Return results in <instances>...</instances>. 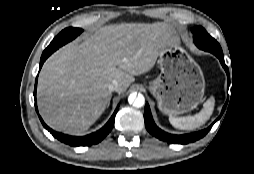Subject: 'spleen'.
Wrapping results in <instances>:
<instances>
[{
	"label": "spleen",
	"mask_w": 254,
	"mask_h": 174,
	"mask_svg": "<svg viewBox=\"0 0 254 174\" xmlns=\"http://www.w3.org/2000/svg\"><path fill=\"white\" fill-rule=\"evenodd\" d=\"M215 105L214 97H210L204 104L203 109L194 116H187V117H169V121L172 126L181 130H193L196 129L205 122L209 120L211 117Z\"/></svg>",
	"instance_id": "obj_1"
}]
</instances>
